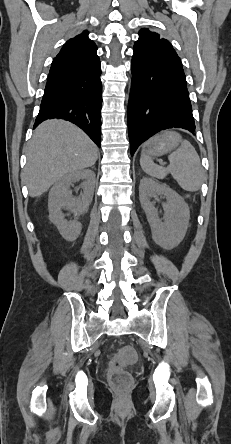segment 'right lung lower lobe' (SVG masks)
Instances as JSON below:
<instances>
[{
  "label": "right lung lower lobe",
  "mask_w": 231,
  "mask_h": 444,
  "mask_svg": "<svg viewBox=\"0 0 231 444\" xmlns=\"http://www.w3.org/2000/svg\"><path fill=\"white\" fill-rule=\"evenodd\" d=\"M100 66L86 73L48 80L34 128L47 119L75 123L101 146Z\"/></svg>",
  "instance_id": "obj_1"
}]
</instances>
